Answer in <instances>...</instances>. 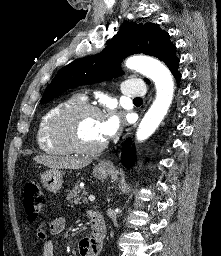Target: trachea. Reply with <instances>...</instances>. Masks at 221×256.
Listing matches in <instances>:
<instances>
[{"instance_id":"obj_1","label":"trachea","mask_w":221,"mask_h":256,"mask_svg":"<svg viewBox=\"0 0 221 256\" xmlns=\"http://www.w3.org/2000/svg\"><path fill=\"white\" fill-rule=\"evenodd\" d=\"M134 101H142L141 98H135Z\"/></svg>"}]
</instances>
